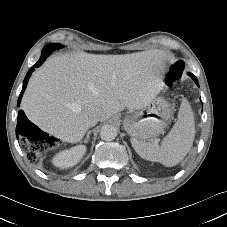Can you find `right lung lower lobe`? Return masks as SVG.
<instances>
[{"instance_id": "obj_1", "label": "right lung lower lobe", "mask_w": 227, "mask_h": 227, "mask_svg": "<svg viewBox=\"0 0 227 227\" xmlns=\"http://www.w3.org/2000/svg\"><path fill=\"white\" fill-rule=\"evenodd\" d=\"M53 48L50 47V46H45L44 49L42 50V54H41V57L40 59L38 60V62L33 65L30 70L28 71L25 79H24V82H23V87H22V91L19 95V99H18V105L20 104L21 102V98L23 96V93L26 89V86H27V83H28V80L31 76V73L34 71L35 68L37 67H40L42 65V63L46 60V58L53 52ZM29 126H34L36 127L34 124H32L28 119L27 117L25 116L24 112L22 110L19 111L18 113V120H17V130L19 133H25L26 132V129L29 127ZM37 128V127H36Z\"/></svg>"}]
</instances>
